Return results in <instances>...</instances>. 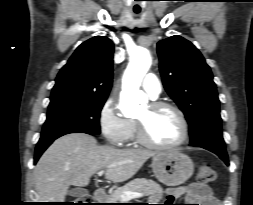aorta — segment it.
<instances>
[{"mask_svg":"<svg viewBox=\"0 0 253 205\" xmlns=\"http://www.w3.org/2000/svg\"><path fill=\"white\" fill-rule=\"evenodd\" d=\"M148 49L137 47L130 55V62L123 76L121 111L132 116L147 104L146 94L139 89L142 78L151 66Z\"/></svg>","mask_w":253,"mask_h":205,"instance_id":"aorta-1","label":"aorta"}]
</instances>
